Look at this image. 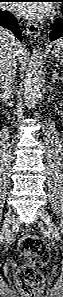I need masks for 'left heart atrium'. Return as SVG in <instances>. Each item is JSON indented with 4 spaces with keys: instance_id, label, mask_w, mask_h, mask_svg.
Masks as SVG:
<instances>
[{
    "instance_id": "obj_1",
    "label": "left heart atrium",
    "mask_w": 63,
    "mask_h": 297,
    "mask_svg": "<svg viewBox=\"0 0 63 297\" xmlns=\"http://www.w3.org/2000/svg\"><path fill=\"white\" fill-rule=\"evenodd\" d=\"M10 9L29 18H42L48 12V7L40 3H14Z\"/></svg>"
}]
</instances>
